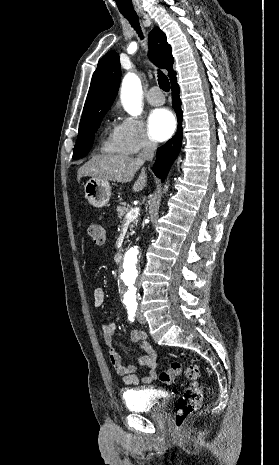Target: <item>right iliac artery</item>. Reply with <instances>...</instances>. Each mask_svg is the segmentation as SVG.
Segmentation results:
<instances>
[{"label":"right iliac artery","mask_w":279,"mask_h":465,"mask_svg":"<svg viewBox=\"0 0 279 465\" xmlns=\"http://www.w3.org/2000/svg\"><path fill=\"white\" fill-rule=\"evenodd\" d=\"M136 309H137L136 306H128V307H127V310H128V318H129V320L132 321V322L134 321Z\"/></svg>","instance_id":"1"}]
</instances>
